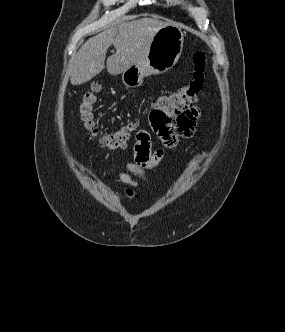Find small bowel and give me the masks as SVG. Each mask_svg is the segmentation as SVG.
I'll use <instances>...</instances> for the list:
<instances>
[{"label": "small bowel", "mask_w": 285, "mask_h": 332, "mask_svg": "<svg viewBox=\"0 0 285 332\" xmlns=\"http://www.w3.org/2000/svg\"><path fill=\"white\" fill-rule=\"evenodd\" d=\"M148 126H151V133H156L167 146H174L179 136L188 138L194 131L196 121L199 117L197 108H189L178 118V131L176 118L177 111H169L168 107L153 106L152 111L147 112ZM162 150H153L150 133L140 130L137 134L134 145V160L125 164L126 171L119 172L120 180L129 187H137L139 180L149 181L147 169L153 166L162 156ZM132 195V190H127Z\"/></svg>", "instance_id": "obj_1"}]
</instances>
